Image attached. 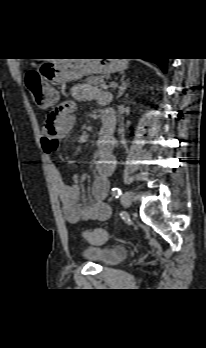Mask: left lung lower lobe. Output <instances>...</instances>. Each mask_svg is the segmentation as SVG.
<instances>
[{"label": "left lung lower lobe", "instance_id": "obj_1", "mask_svg": "<svg viewBox=\"0 0 206 348\" xmlns=\"http://www.w3.org/2000/svg\"><path fill=\"white\" fill-rule=\"evenodd\" d=\"M146 60H149L151 62L158 64L161 67L162 71L164 73H166V71H167V58H152V59H146Z\"/></svg>", "mask_w": 206, "mask_h": 348}]
</instances>
